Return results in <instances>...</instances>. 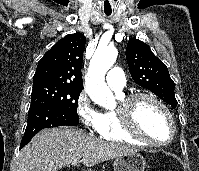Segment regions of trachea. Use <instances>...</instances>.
I'll list each match as a JSON object with an SVG mask.
<instances>
[{
    "label": "trachea",
    "instance_id": "trachea-1",
    "mask_svg": "<svg viewBox=\"0 0 199 171\" xmlns=\"http://www.w3.org/2000/svg\"><path fill=\"white\" fill-rule=\"evenodd\" d=\"M105 15H106V16H110V15H111V12H105Z\"/></svg>",
    "mask_w": 199,
    "mask_h": 171
}]
</instances>
